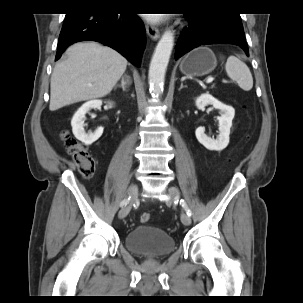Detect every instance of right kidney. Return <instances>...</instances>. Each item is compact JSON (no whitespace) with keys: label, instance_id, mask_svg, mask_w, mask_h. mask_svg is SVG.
<instances>
[{"label":"right kidney","instance_id":"1","mask_svg":"<svg viewBox=\"0 0 303 303\" xmlns=\"http://www.w3.org/2000/svg\"><path fill=\"white\" fill-rule=\"evenodd\" d=\"M102 105L101 100H91L84 103L74 114L71 120V126L74 136L85 145H91L97 141L103 134V127H99L95 132L86 133L84 129L85 115L91 109H98ZM111 105V103H109Z\"/></svg>","mask_w":303,"mask_h":303}]
</instances>
